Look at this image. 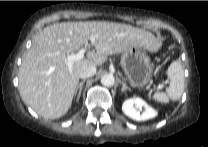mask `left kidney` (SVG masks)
Wrapping results in <instances>:
<instances>
[{
	"mask_svg": "<svg viewBox=\"0 0 208 147\" xmlns=\"http://www.w3.org/2000/svg\"><path fill=\"white\" fill-rule=\"evenodd\" d=\"M122 111L126 116L136 121H145L157 116V111L139 97L125 100Z\"/></svg>",
	"mask_w": 208,
	"mask_h": 147,
	"instance_id": "1",
	"label": "left kidney"
}]
</instances>
